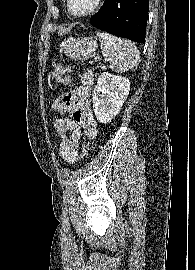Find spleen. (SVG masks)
Here are the masks:
<instances>
[{"mask_svg": "<svg viewBox=\"0 0 195 270\" xmlns=\"http://www.w3.org/2000/svg\"><path fill=\"white\" fill-rule=\"evenodd\" d=\"M97 37L101 43L102 55L113 71L122 73L138 65L140 53L132 42L105 32H98Z\"/></svg>", "mask_w": 195, "mask_h": 270, "instance_id": "spleen-1", "label": "spleen"}]
</instances>
